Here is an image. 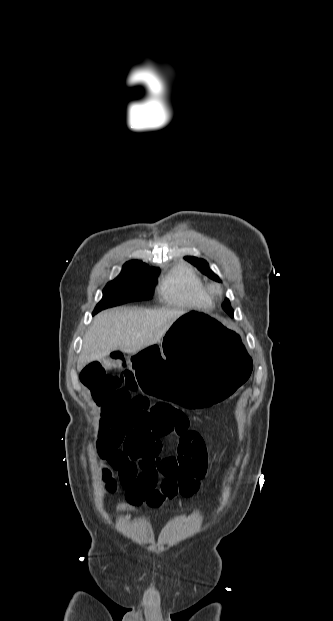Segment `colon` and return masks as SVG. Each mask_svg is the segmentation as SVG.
<instances>
[{"label": "colon", "instance_id": "colon-1", "mask_svg": "<svg viewBox=\"0 0 333 621\" xmlns=\"http://www.w3.org/2000/svg\"><path fill=\"white\" fill-rule=\"evenodd\" d=\"M135 474H136V467H135V465L133 463H128L127 467L123 471H120L121 483L124 484V485H128L132 481V479L135 477ZM104 479H105V481L107 483L108 489L111 490V491L115 490V488L117 486V483L114 480V478L112 477L110 472H108V471L105 472ZM121 508L123 510H125V509H127V506L122 505Z\"/></svg>", "mask_w": 333, "mask_h": 621}]
</instances>
